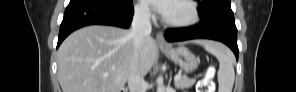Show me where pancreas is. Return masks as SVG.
Listing matches in <instances>:
<instances>
[{
	"label": "pancreas",
	"mask_w": 296,
	"mask_h": 92,
	"mask_svg": "<svg viewBox=\"0 0 296 92\" xmlns=\"http://www.w3.org/2000/svg\"><path fill=\"white\" fill-rule=\"evenodd\" d=\"M196 82V79H189L186 76L181 77L178 81L175 82V87L177 89H187L192 87Z\"/></svg>",
	"instance_id": "obj_1"
}]
</instances>
